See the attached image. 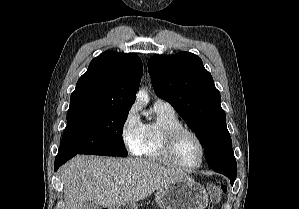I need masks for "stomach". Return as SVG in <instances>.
Wrapping results in <instances>:
<instances>
[{
  "instance_id": "1",
  "label": "stomach",
  "mask_w": 299,
  "mask_h": 209,
  "mask_svg": "<svg viewBox=\"0 0 299 209\" xmlns=\"http://www.w3.org/2000/svg\"><path fill=\"white\" fill-rule=\"evenodd\" d=\"M155 200L161 209H205L208 194L204 186L186 177L159 188L155 193ZM108 209H137V207L134 204H127Z\"/></svg>"
}]
</instances>
